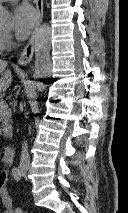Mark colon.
I'll use <instances>...</instances> for the list:
<instances>
[{
    "mask_svg": "<svg viewBox=\"0 0 128 213\" xmlns=\"http://www.w3.org/2000/svg\"><path fill=\"white\" fill-rule=\"evenodd\" d=\"M13 213H27L21 209H14Z\"/></svg>",
    "mask_w": 128,
    "mask_h": 213,
    "instance_id": "obj_1",
    "label": "colon"
}]
</instances>
